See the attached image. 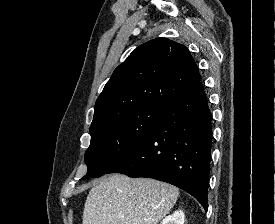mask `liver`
<instances>
[{
    "label": "liver",
    "mask_w": 275,
    "mask_h": 224,
    "mask_svg": "<svg viewBox=\"0 0 275 224\" xmlns=\"http://www.w3.org/2000/svg\"><path fill=\"white\" fill-rule=\"evenodd\" d=\"M179 196V190L149 178L114 174L90 190L83 224H158Z\"/></svg>",
    "instance_id": "liver-1"
}]
</instances>
